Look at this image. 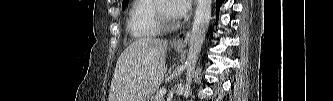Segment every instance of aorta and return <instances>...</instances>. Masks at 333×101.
Instances as JSON below:
<instances>
[{
  "label": "aorta",
  "instance_id": "aorta-1",
  "mask_svg": "<svg viewBox=\"0 0 333 101\" xmlns=\"http://www.w3.org/2000/svg\"><path fill=\"white\" fill-rule=\"evenodd\" d=\"M211 3L212 0H197V7L189 41V50L185 62L186 85L184 96L188 95L190 92L195 65L211 18Z\"/></svg>",
  "mask_w": 333,
  "mask_h": 101
}]
</instances>
